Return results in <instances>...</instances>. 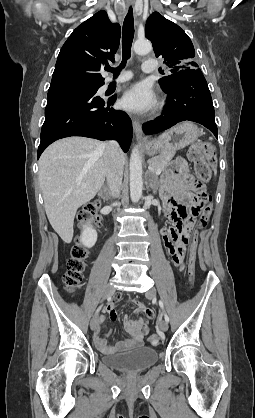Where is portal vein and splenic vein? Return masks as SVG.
<instances>
[{"label":"portal vein and splenic vein","mask_w":255,"mask_h":418,"mask_svg":"<svg viewBox=\"0 0 255 418\" xmlns=\"http://www.w3.org/2000/svg\"><path fill=\"white\" fill-rule=\"evenodd\" d=\"M161 171H162L161 169L155 170V175L158 176L161 173Z\"/></svg>","instance_id":"portal-vein-and-splenic-vein-1"}]
</instances>
